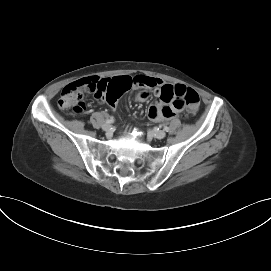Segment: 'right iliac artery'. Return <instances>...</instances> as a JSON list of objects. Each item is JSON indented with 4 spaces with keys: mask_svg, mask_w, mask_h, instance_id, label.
I'll use <instances>...</instances> for the list:
<instances>
[{
    "mask_svg": "<svg viewBox=\"0 0 271 271\" xmlns=\"http://www.w3.org/2000/svg\"><path fill=\"white\" fill-rule=\"evenodd\" d=\"M106 123L110 124V123H113L114 122V118H110V119H106L105 121Z\"/></svg>",
    "mask_w": 271,
    "mask_h": 271,
    "instance_id": "right-iliac-artery-1",
    "label": "right iliac artery"
}]
</instances>
